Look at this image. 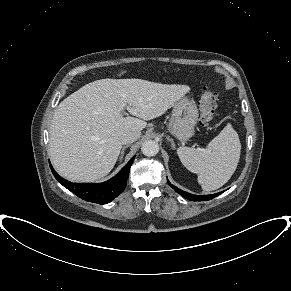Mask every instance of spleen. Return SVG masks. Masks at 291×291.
<instances>
[{
  "label": "spleen",
  "instance_id": "obj_1",
  "mask_svg": "<svg viewBox=\"0 0 291 291\" xmlns=\"http://www.w3.org/2000/svg\"><path fill=\"white\" fill-rule=\"evenodd\" d=\"M241 152L237 132L228 123L203 150L179 147L177 154L182 164L198 174V183L205 191L222 187L235 172Z\"/></svg>",
  "mask_w": 291,
  "mask_h": 291
}]
</instances>
